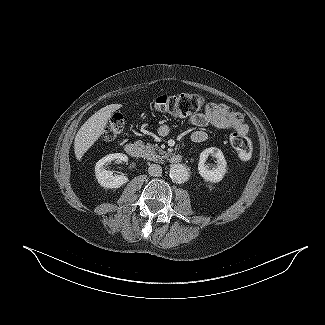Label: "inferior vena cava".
Masks as SVG:
<instances>
[{
	"mask_svg": "<svg viewBox=\"0 0 325 325\" xmlns=\"http://www.w3.org/2000/svg\"><path fill=\"white\" fill-rule=\"evenodd\" d=\"M148 173L151 176H155V177L160 176L162 174V168L158 164H151L149 165Z\"/></svg>",
	"mask_w": 325,
	"mask_h": 325,
	"instance_id": "602c4592",
	"label": "inferior vena cava"
}]
</instances>
